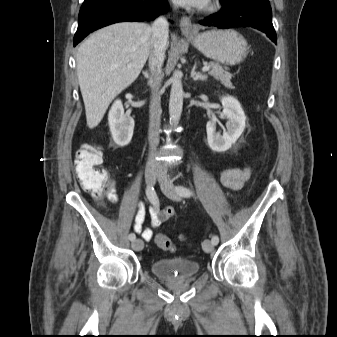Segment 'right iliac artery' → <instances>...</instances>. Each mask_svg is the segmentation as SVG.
I'll return each instance as SVG.
<instances>
[{"label": "right iliac artery", "mask_w": 337, "mask_h": 337, "mask_svg": "<svg viewBox=\"0 0 337 337\" xmlns=\"http://www.w3.org/2000/svg\"><path fill=\"white\" fill-rule=\"evenodd\" d=\"M146 195L149 199V201L155 205V206H159V199L156 195V192L154 191V188L153 187H150L148 186L147 189H146ZM136 238L135 234L134 233H130L129 234V240L131 241H134Z\"/></svg>", "instance_id": "82829eb1"}]
</instances>
